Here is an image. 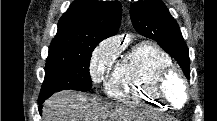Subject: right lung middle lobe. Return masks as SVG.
Wrapping results in <instances>:
<instances>
[{"label": "right lung middle lobe", "mask_w": 217, "mask_h": 121, "mask_svg": "<svg viewBox=\"0 0 217 121\" xmlns=\"http://www.w3.org/2000/svg\"><path fill=\"white\" fill-rule=\"evenodd\" d=\"M99 41L85 43H55L49 47L45 79L39 99L65 89L88 91L92 87L89 63Z\"/></svg>", "instance_id": "right-lung-middle-lobe-1"}]
</instances>
